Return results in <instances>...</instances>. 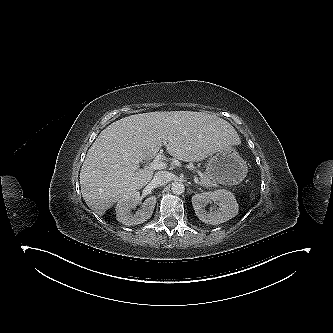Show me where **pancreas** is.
Returning a JSON list of instances; mask_svg holds the SVG:
<instances>
[{
    "label": "pancreas",
    "mask_w": 333,
    "mask_h": 333,
    "mask_svg": "<svg viewBox=\"0 0 333 333\" xmlns=\"http://www.w3.org/2000/svg\"><path fill=\"white\" fill-rule=\"evenodd\" d=\"M199 184L207 188L216 186V182L212 181L206 174H201Z\"/></svg>",
    "instance_id": "pancreas-1"
}]
</instances>
